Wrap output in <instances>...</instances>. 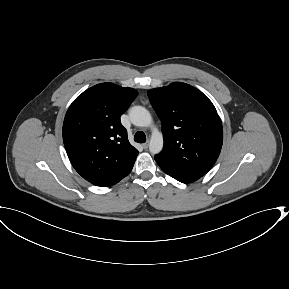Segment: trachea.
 I'll return each instance as SVG.
<instances>
[{
    "label": "trachea",
    "instance_id": "1",
    "mask_svg": "<svg viewBox=\"0 0 289 289\" xmlns=\"http://www.w3.org/2000/svg\"><path fill=\"white\" fill-rule=\"evenodd\" d=\"M134 140L137 143H145L146 142V135L144 132L142 131H138L135 136H134Z\"/></svg>",
    "mask_w": 289,
    "mask_h": 289
}]
</instances>
